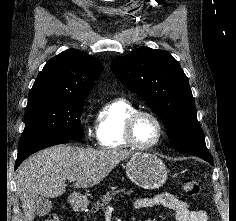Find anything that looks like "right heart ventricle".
<instances>
[{
  "mask_svg": "<svg viewBox=\"0 0 236 221\" xmlns=\"http://www.w3.org/2000/svg\"><path fill=\"white\" fill-rule=\"evenodd\" d=\"M136 110V106L125 97H117L105 103L96 119L95 134L98 144L109 150L130 148L124 135L125 123Z\"/></svg>",
  "mask_w": 236,
  "mask_h": 221,
  "instance_id": "obj_1",
  "label": "right heart ventricle"
}]
</instances>
